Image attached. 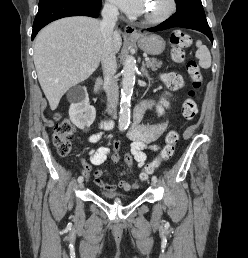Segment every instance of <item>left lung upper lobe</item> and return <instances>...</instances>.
I'll return each mask as SVG.
<instances>
[{
  "label": "left lung upper lobe",
  "instance_id": "1",
  "mask_svg": "<svg viewBox=\"0 0 248 258\" xmlns=\"http://www.w3.org/2000/svg\"><path fill=\"white\" fill-rule=\"evenodd\" d=\"M177 12H188L193 9H202L201 0H175Z\"/></svg>",
  "mask_w": 248,
  "mask_h": 258
}]
</instances>
